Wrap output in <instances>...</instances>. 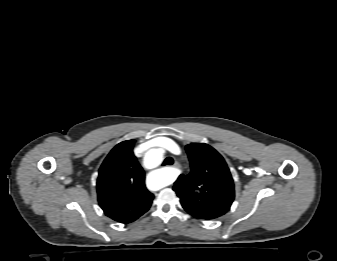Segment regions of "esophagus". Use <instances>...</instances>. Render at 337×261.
I'll use <instances>...</instances> for the list:
<instances>
[{"label":"esophagus","instance_id":"obj_1","mask_svg":"<svg viewBox=\"0 0 337 261\" xmlns=\"http://www.w3.org/2000/svg\"><path fill=\"white\" fill-rule=\"evenodd\" d=\"M173 166L177 168V167H179V164L175 163Z\"/></svg>","mask_w":337,"mask_h":261}]
</instances>
